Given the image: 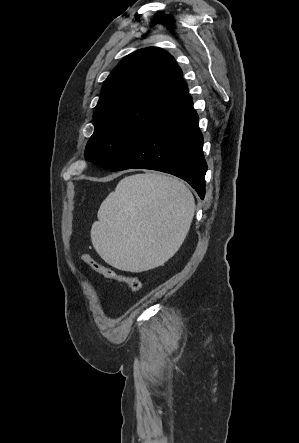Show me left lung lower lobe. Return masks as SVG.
Instances as JSON below:
<instances>
[{
    "instance_id": "1",
    "label": "left lung lower lobe",
    "mask_w": 299,
    "mask_h": 443,
    "mask_svg": "<svg viewBox=\"0 0 299 443\" xmlns=\"http://www.w3.org/2000/svg\"><path fill=\"white\" fill-rule=\"evenodd\" d=\"M202 145L198 115L186 88L111 171L142 168L166 172L187 181L203 199L207 164Z\"/></svg>"
}]
</instances>
